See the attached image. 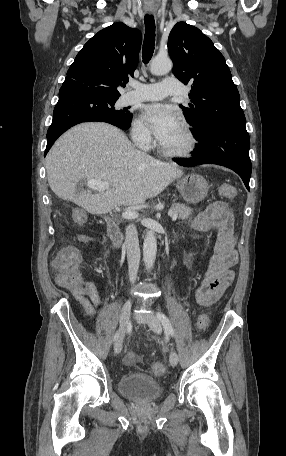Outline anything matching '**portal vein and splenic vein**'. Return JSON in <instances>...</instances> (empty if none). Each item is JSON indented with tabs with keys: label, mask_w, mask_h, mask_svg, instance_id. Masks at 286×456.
I'll return each instance as SVG.
<instances>
[{
	"label": "portal vein and splenic vein",
	"mask_w": 286,
	"mask_h": 456,
	"mask_svg": "<svg viewBox=\"0 0 286 456\" xmlns=\"http://www.w3.org/2000/svg\"><path fill=\"white\" fill-rule=\"evenodd\" d=\"M87 186L90 189L104 192L110 188L109 183L104 182V181H98V180H88L87 181ZM139 213L134 209V208H129L126 211L122 213V217L126 219H134L138 217ZM168 215L172 218L173 221L177 219V214L173 213V211H169Z\"/></svg>",
	"instance_id": "18ae733b"
}]
</instances>
